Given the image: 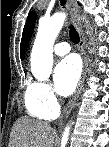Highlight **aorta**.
Here are the masks:
<instances>
[{"label":"aorta","instance_id":"obj_1","mask_svg":"<svg viewBox=\"0 0 109 147\" xmlns=\"http://www.w3.org/2000/svg\"><path fill=\"white\" fill-rule=\"evenodd\" d=\"M66 18L65 13H56L51 18L39 22L38 32L31 52V71L38 80L50 77L53 65V45ZM70 127L67 126L61 139V147L68 141Z\"/></svg>","mask_w":109,"mask_h":147}]
</instances>
